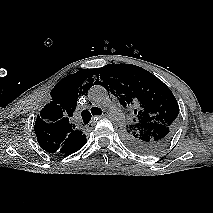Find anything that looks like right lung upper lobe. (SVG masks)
<instances>
[{"instance_id":"cb5924a9","label":"right lung upper lobe","mask_w":213,"mask_h":213,"mask_svg":"<svg viewBox=\"0 0 213 213\" xmlns=\"http://www.w3.org/2000/svg\"><path fill=\"white\" fill-rule=\"evenodd\" d=\"M96 69H80L63 78L51 90V101L37 115L35 134L42 149L49 153L65 154L73 149L85 135L70 122L79 96L92 86Z\"/></svg>"}]
</instances>
